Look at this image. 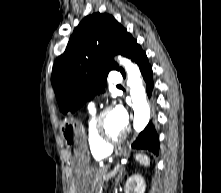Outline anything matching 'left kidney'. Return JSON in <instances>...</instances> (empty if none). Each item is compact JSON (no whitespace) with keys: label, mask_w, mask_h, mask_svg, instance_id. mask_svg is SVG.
Segmentation results:
<instances>
[{"label":"left kidney","mask_w":221,"mask_h":193,"mask_svg":"<svg viewBox=\"0 0 221 193\" xmlns=\"http://www.w3.org/2000/svg\"><path fill=\"white\" fill-rule=\"evenodd\" d=\"M145 182L140 174H134L130 176L125 184V193H144Z\"/></svg>","instance_id":"obj_1"}]
</instances>
